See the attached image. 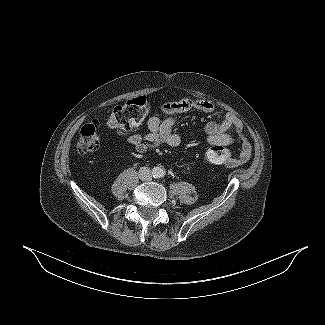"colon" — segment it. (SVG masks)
Instances as JSON below:
<instances>
[{"label": "colon", "mask_w": 325, "mask_h": 325, "mask_svg": "<svg viewBox=\"0 0 325 325\" xmlns=\"http://www.w3.org/2000/svg\"><path fill=\"white\" fill-rule=\"evenodd\" d=\"M152 108L145 97H136L116 106L108 119V126L117 131H129L149 120ZM99 145L98 123L93 120L85 124L77 140V151L87 154L95 151ZM204 160L212 165L231 164L233 158L230 150L223 145L210 147L204 154Z\"/></svg>", "instance_id": "colon-1"}]
</instances>
